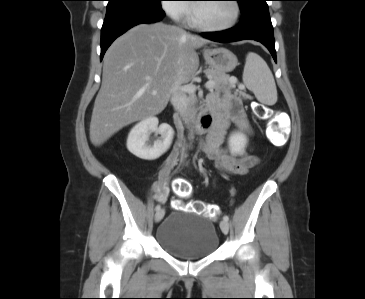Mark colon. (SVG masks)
<instances>
[{
    "instance_id": "obj_1",
    "label": "colon",
    "mask_w": 365,
    "mask_h": 299,
    "mask_svg": "<svg viewBox=\"0 0 365 299\" xmlns=\"http://www.w3.org/2000/svg\"><path fill=\"white\" fill-rule=\"evenodd\" d=\"M256 114L262 119L269 120L266 131L268 139L272 143L277 145L284 144L287 138V133L285 131V126L282 124L279 116L273 115L271 110L264 105L257 106ZM174 190L179 196V200H177L174 204L176 208L189 212L203 214L210 218L218 217L219 207L215 204H207L201 201L185 203L183 201V199L189 197L192 193V187L187 181L180 179L175 180Z\"/></svg>"
}]
</instances>
